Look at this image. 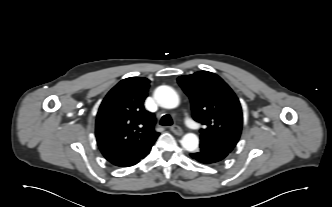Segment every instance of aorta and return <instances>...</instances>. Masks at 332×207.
<instances>
[{
	"label": "aorta",
	"mask_w": 332,
	"mask_h": 207,
	"mask_svg": "<svg viewBox=\"0 0 332 207\" xmlns=\"http://www.w3.org/2000/svg\"><path fill=\"white\" fill-rule=\"evenodd\" d=\"M154 98L161 107L166 109H173L179 105V96L170 86L163 85L156 88ZM181 145L185 150L193 152L198 148L199 139L196 134L188 133L183 136Z\"/></svg>",
	"instance_id": "obj_1"
}]
</instances>
